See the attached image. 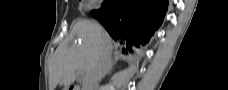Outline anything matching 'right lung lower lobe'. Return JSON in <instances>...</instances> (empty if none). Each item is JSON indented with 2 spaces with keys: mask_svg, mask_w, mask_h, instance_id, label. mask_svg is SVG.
<instances>
[{
  "mask_svg": "<svg viewBox=\"0 0 228 90\" xmlns=\"http://www.w3.org/2000/svg\"><path fill=\"white\" fill-rule=\"evenodd\" d=\"M168 0H106L93 13L126 54H134L161 25Z\"/></svg>",
  "mask_w": 228,
  "mask_h": 90,
  "instance_id": "right-lung-lower-lobe-1",
  "label": "right lung lower lobe"
}]
</instances>
